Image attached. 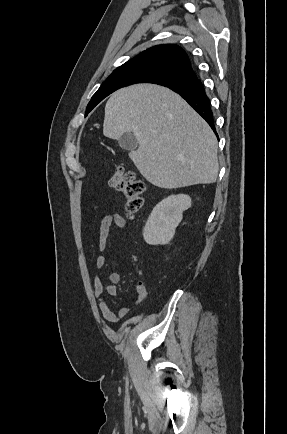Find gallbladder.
Listing matches in <instances>:
<instances>
[{
    "instance_id": "obj_1",
    "label": "gallbladder",
    "mask_w": 287,
    "mask_h": 434,
    "mask_svg": "<svg viewBox=\"0 0 287 434\" xmlns=\"http://www.w3.org/2000/svg\"><path fill=\"white\" fill-rule=\"evenodd\" d=\"M119 146L128 151H134L138 147V141L136 137L131 132L124 133L119 139H118Z\"/></svg>"
}]
</instances>
